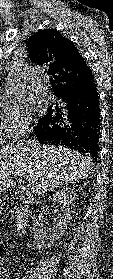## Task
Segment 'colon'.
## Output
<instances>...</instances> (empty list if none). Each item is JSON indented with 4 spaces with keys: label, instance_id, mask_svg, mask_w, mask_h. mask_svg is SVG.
<instances>
[{
    "label": "colon",
    "instance_id": "obj_1",
    "mask_svg": "<svg viewBox=\"0 0 113 279\" xmlns=\"http://www.w3.org/2000/svg\"><path fill=\"white\" fill-rule=\"evenodd\" d=\"M2 257H3V248L0 247V261H1Z\"/></svg>",
    "mask_w": 113,
    "mask_h": 279
}]
</instances>
